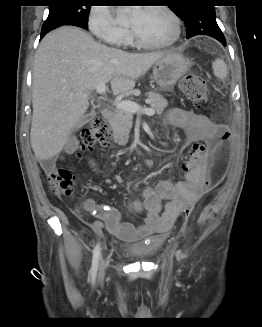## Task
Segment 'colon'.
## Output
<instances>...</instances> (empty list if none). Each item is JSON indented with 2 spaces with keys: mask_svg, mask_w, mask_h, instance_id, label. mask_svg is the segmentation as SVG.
Returning <instances> with one entry per match:
<instances>
[{
  "mask_svg": "<svg viewBox=\"0 0 262 327\" xmlns=\"http://www.w3.org/2000/svg\"><path fill=\"white\" fill-rule=\"evenodd\" d=\"M180 90L196 105H201L207 100V84L198 74H187L179 83ZM216 143L208 154V173L204 190L209 192L215 189L224 179L230 159L231 134L224 125H218ZM111 143V134L107 122L102 117H96L80 133V148L87 149L94 146H107ZM196 151H205L203 145L196 144L190 154ZM49 186L58 196H71L74 194L73 175L66 169H56L49 174ZM198 200H188L182 213L188 217Z\"/></svg>",
  "mask_w": 262,
  "mask_h": 327,
  "instance_id": "obj_1",
  "label": "colon"
}]
</instances>
